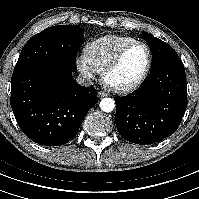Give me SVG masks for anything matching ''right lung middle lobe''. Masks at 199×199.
<instances>
[{
    "mask_svg": "<svg viewBox=\"0 0 199 199\" xmlns=\"http://www.w3.org/2000/svg\"><path fill=\"white\" fill-rule=\"evenodd\" d=\"M77 25H58L34 35L23 47L13 75L39 65H59L76 71V55L84 41Z\"/></svg>",
    "mask_w": 199,
    "mask_h": 199,
    "instance_id": "obj_1",
    "label": "right lung middle lobe"
}]
</instances>
